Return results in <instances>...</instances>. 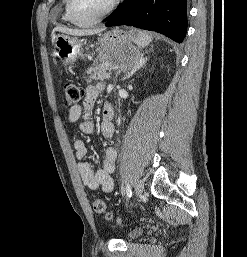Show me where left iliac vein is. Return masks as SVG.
I'll list each match as a JSON object with an SVG mask.
<instances>
[{
	"label": "left iliac vein",
	"instance_id": "left-iliac-vein-1",
	"mask_svg": "<svg viewBox=\"0 0 247 257\" xmlns=\"http://www.w3.org/2000/svg\"><path fill=\"white\" fill-rule=\"evenodd\" d=\"M143 190H144V184H143V182L141 180H138L135 183V193H136V196L142 195Z\"/></svg>",
	"mask_w": 247,
	"mask_h": 257
}]
</instances>
